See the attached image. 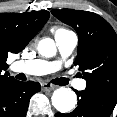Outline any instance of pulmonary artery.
<instances>
[{
    "instance_id": "e3ab8cb5",
    "label": "pulmonary artery",
    "mask_w": 117,
    "mask_h": 117,
    "mask_svg": "<svg viewBox=\"0 0 117 117\" xmlns=\"http://www.w3.org/2000/svg\"><path fill=\"white\" fill-rule=\"evenodd\" d=\"M55 41L62 58L68 57L75 49L78 38L72 31H65L55 35ZM61 66V61H45V60H28L17 61L13 64L14 71L22 72L28 75H46L57 71ZM73 85L79 89L84 90L86 81L78 79L73 82Z\"/></svg>"
}]
</instances>
